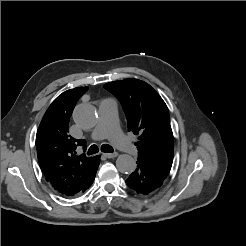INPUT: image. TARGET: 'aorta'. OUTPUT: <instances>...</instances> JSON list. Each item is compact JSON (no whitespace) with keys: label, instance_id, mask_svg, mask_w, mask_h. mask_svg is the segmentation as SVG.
Instances as JSON below:
<instances>
[{"label":"aorta","instance_id":"obj_1","mask_svg":"<svg viewBox=\"0 0 246 246\" xmlns=\"http://www.w3.org/2000/svg\"><path fill=\"white\" fill-rule=\"evenodd\" d=\"M97 112L91 104H80L73 112V119L75 123L82 129H91L97 123ZM116 167L119 172L124 174L132 173L136 168L135 159L128 154L118 156L116 160Z\"/></svg>","mask_w":246,"mask_h":246}]
</instances>
